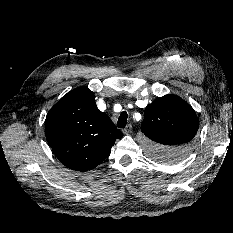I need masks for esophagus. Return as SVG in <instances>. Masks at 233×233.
I'll list each match as a JSON object with an SVG mask.
<instances>
[{"label": "esophagus", "instance_id": "34e87169", "mask_svg": "<svg viewBox=\"0 0 233 233\" xmlns=\"http://www.w3.org/2000/svg\"><path fill=\"white\" fill-rule=\"evenodd\" d=\"M131 130H132V126L131 124H128L123 130L122 132L126 135H128L129 133H131Z\"/></svg>", "mask_w": 233, "mask_h": 233}]
</instances>
